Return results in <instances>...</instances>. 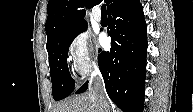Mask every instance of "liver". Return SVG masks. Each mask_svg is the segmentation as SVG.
Here are the masks:
<instances>
[{"label":"liver","mask_w":193,"mask_h":112,"mask_svg":"<svg viewBox=\"0 0 193 112\" xmlns=\"http://www.w3.org/2000/svg\"><path fill=\"white\" fill-rule=\"evenodd\" d=\"M111 112V106L109 105ZM53 112H100V107L90 92L58 103Z\"/></svg>","instance_id":"obj_1"}]
</instances>
